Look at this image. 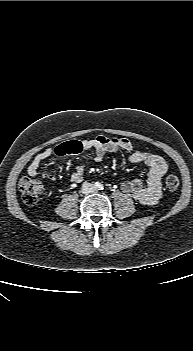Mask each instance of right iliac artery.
<instances>
[{"mask_svg": "<svg viewBox=\"0 0 193 351\" xmlns=\"http://www.w3.org/2000/svg\"><path fill=\"white\" fill-rule=\"evenodd\" d=\"M99 186V184L98 183H95V187H98Z\"/></svg>", "mask_w": 193, "mask_h": 351, "instance_id": "82829eb1", "label": "right iliac artery"}]
</instances>
